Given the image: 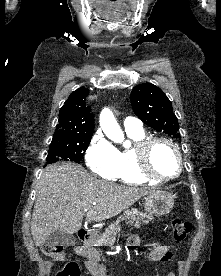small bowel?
Listing matches in <instances>:
<instances>
[{"label": "small bowel", "mask_w": 221, "mask_h": 276, "mask_svg": "<svg viewBox=\"0 0 221 276\" xmlns=\"http://www.w3.org/2000/svg\"><path fill=\"white\" fill-rule=\"evenodd\" d=\"M130 245L138 246V237H132L130 239ZM150 246L151 251L148 255L150 261L166 262L172 258V252L168 246L158 242L152 243ZM76 252L86 258L85 265L92 276H109L106 272L104 262L97 250L90 247L78 246ZM165 274L166 276H175V274L169 270H165Z\"/></svg>", "instance_id": "1"}]
</instances>
